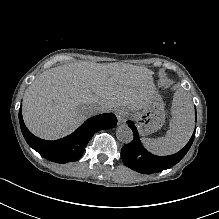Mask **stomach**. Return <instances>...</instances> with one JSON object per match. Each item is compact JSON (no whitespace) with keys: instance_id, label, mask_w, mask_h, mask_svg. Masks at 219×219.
<instances>
[{"instance_id":"1","label":"stomach","mask_w":219,"mask_h":219,"mask_svg":"<svg viewBox=\"0 0 219 219\" xmlns=\"http://www.w3.org/2000/svg\"><path fill=\"white\" fill-rule=\"evenodd\" d=\"M132 117L142 136L159 130L165 123V110L158 92L154 90L149 101L141 109L132 111Z\"/></svg>"}]
</instances>
